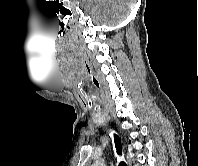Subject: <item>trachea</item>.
Returning a JSON list of instances; mask_svg holds the SVG:
<instances>
[{
	"instance_id": "3493384b",
	"label": "trachea",
	"mask_w": 198,
	"mask_h": 166,
	"mask_svg": "<svg viewBox=\"0 0 198 166\" xmlns=\"http://www.w3.org/2000/svg\"><path fill=\"white\" fill-rule=\"evenodd\" d=\"M114 143H115V147L117 150V154L118 155H122V146H121V141L118 135L114 134ZM119 166H127L126 163L124 161H121L119 163Z\"/></svg>"
}]
</instances>
